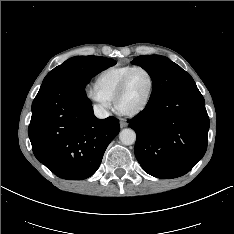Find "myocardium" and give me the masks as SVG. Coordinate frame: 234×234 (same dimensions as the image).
I'll return each mask as SVG.
<instances>
[{
    "label": "myocardium",
    "instance_id": "obj_1",
    "mask_svg": "<svg viewBox=\"0 0 234 234\" xmlns=\"http://www.w3.org/2000/svg\"><path fill=\"white\" fill-rule=\"evenodd\" d=\"M139 70L145 71L149 76L150 86H149L147 96H146L145 100L143 101V103L139 107H137L136 109L131 110V111H123L119 108V105H118L119 100L122 97V95L125 93L131 76L133 75V73H135L136 71H139ZM154 88H155V79H154V75L152 74V72L146 67L135 66L124 76L123 80L121 81L119 87L117 88V90L114 94L113 104H114L116 111L119 114L124 115V116H136V115L140 114L141 112H143L146 109V107L150 103L153 92H154Z\"/></svg>",
    "mask_w": 234,
    "mask_h": 234
}]
</instances>
